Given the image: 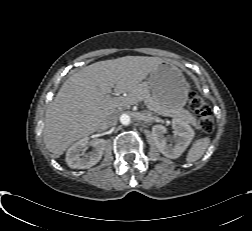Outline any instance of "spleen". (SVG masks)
Instances as JSON below:
<instances>
[{
  "instance_id": "spleen-1",
  "label": "spleen",
  "mask_w": 252,
  "mask_h": 231,
  "mask_svg": "<svg viewBox=\"0 0 252 231\" xmlns=\"http://www.w3.org/2000/svg\"><path fill=\"white\" fill-rule=\"evenodd\" d=\"M209 145L210 139L208 137L196 140L188 151L186 161L195 162L200 159Z\"/></svg>"
}]
</instances>
